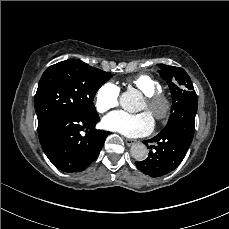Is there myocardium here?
<instances>
[{"instance_id": "obj_1", "label": "myocardium", "mask_w": 229, "mask_h": 229, "mask_svg": "<svg viewBox=\"0 0 229 229\" xmlns=\"http://www.w3.org/2000/svg\"><path fill=\"white\" fill-rule=\"evenodd\" d=\"M146 109L159 121H167L173 111V103L169 97L162 92L145 94Z\"/></svg>"}]
</instances>
